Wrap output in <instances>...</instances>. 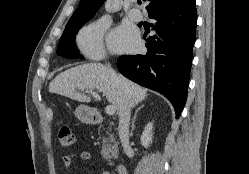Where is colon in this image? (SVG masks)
I'll return each instance as SVG.
<instances>
[{
    "label": "colon",
    "instance_id": "colon-1",
    "mask_svg": "<svg viewBox=\"0 0 249 174\" xmlns=\"http://www.w3.org/2000/svg\"><path fill=\"white\" fill-rule=\"evenodd\" d=\"M57 136L59 144L64 148L72 147L75 144V138L72 130L67 125H62L59 127Z\"/></svg>",
    "mask_w": 249,
    "mask_h": 174
}]
</instances>
